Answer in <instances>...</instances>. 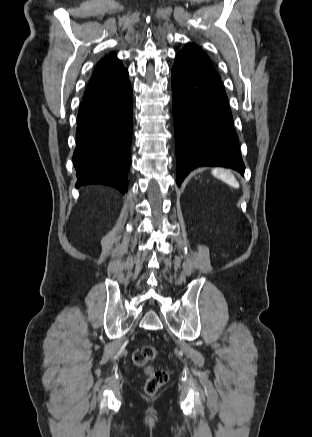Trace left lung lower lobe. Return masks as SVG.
<instances>
[{"label": "left lung lower lobe", "mask_w": 312, "mask_h": 437, "mask_svg": "<svg viewBox=\"0 0 312 437\" xmlns=\"http://www.w3.org/2000/svg\"><path fill=\"white\" fill-rule=\"evenodd\" d=\"M177 185L200 166L244 174L238 136L225 89L213 65L181 51L172 68Z\"/></svg>", "instance_id": "left-lung-lower-lobe-1"}]
</instances>
